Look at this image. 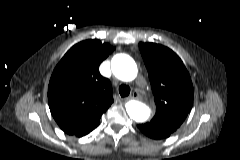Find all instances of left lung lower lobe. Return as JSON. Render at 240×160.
I'll return each mask as SVG.
<instances>
[{
    "mask_svg": "<svg viewBox=\"0 0 240 160\" xmlns=\"http://www.w3.org/2000/svg\"><path fill=\"white\" fill-rule=\"evenodd\" d=\"M138 128L146 136H148L152 139H156V140L165 139V138H168L171 135L168 132L156 127L153 124H151L150 122L139 124Z\"/></svg>",
    "mask_w": 240,
    "mask_h": 160,
    "instance_id": "0a47b994",
    "label": "left lung lower lobe"
}]
</instances>
